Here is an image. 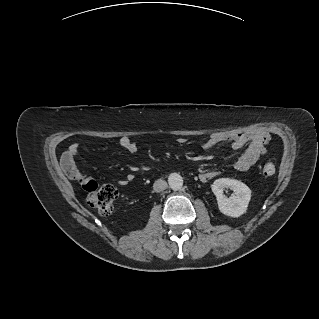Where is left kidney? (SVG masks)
Wrapping results in <instances>:
<instances>
[{"mask_svg":"<svg viewBox=\"0 0 319 319\" xmlns=\"http://www.w3.org/2000/svg\"><path fill=\"white\" fill-rule=\"evenodd\" d=\"M228 188L233 191L229 198L224 195V190ZM211 189L216 196L219 210L224 215L235 218L246 212L251 199V190L243 182L236 179L220 178L214 181Z\"/></svg>","mask_w":319,"mask_h":319,"instance_id":"1","label":"left kidney"}]
</instances>
